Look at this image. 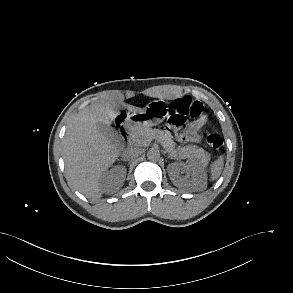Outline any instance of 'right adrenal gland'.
<instances>
[{"label":"right adrenal gland","mask_w":293,"mask_h":293,"mask_svg":"<svg viewBox=\"0 0 293 293\" xmlns=\"http://www.w3.org/2000/svg\"><path fill=\"white\" fill-rule=\"evenodd\" d=\"M121 161H125V162H128V160H127V159H121Z\"/></svg>","instance_id":"1"}]
</instances>
